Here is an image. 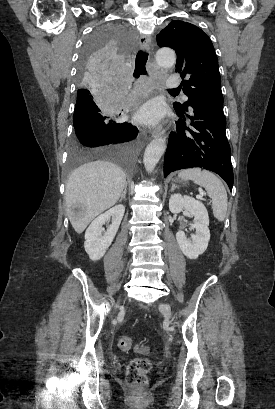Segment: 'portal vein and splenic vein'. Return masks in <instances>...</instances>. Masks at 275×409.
I'll list each match as a JSON object with an SVG mask.
<instances>
[{
    "label": "portal vein and splenic vein",
    "instance_id": "1",
    "mask_svg": "<svg viewBox=\"0 0 275 409\" xmlns=\"http://www.w3.org/2000/svg\"><path fill=\"white\" fill-rule=\"evenodd\" d=\"M202 194H197V198H201Z\"/></svg>",
    "mask_w": 275,
    "mask_h": 409
}]
</instances>
